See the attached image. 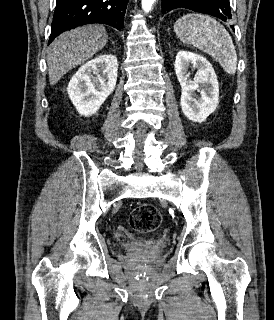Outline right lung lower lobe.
Here are the masks:
<instances>
[{
  "label": "right lung lower lobe",
  "instance_id": "1",
  "mask_svg": "<svg viewBox=\"0 0 274 320\" xmlns=\"http://www.w3.org/2000/svg\"><path fill=\"white\" fill-rule=\"evenodd\" d=\"M49 43L72 28L100 23L121 30L128 0H56Z\"/></svg>",
  "mask_w": 274,
  "mask_h": 320
}]
</instances>
